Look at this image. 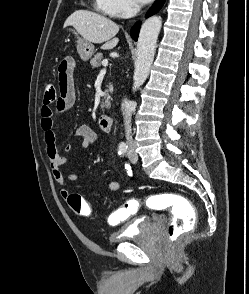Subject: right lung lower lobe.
Listing matches in <instances>:
<instances>
[{
  "label": "right lung lower lobe",
  "instance_id": "1",
  "mask_svg": "<svg viewBox=\"0 0 249 294\" xmlns=\"http://www.w3.org/2000/svg\"><path fill=\"white\" fill-rule=\"evenodd\" d=\"M165 3V0H156L152 7L149 9V11L146 14V17L151 16L155 13H157ZM140 30V22H137L132 28H131V37L133 40H137L138 34Z\"/></svg>",
  "mask_w": 249,
  "mask_h": 294
}]
</instances>
